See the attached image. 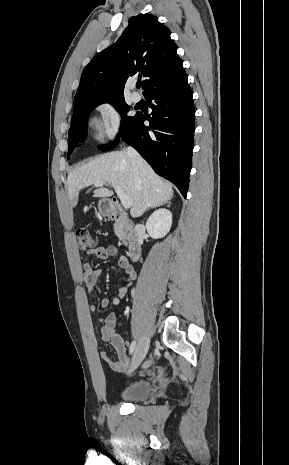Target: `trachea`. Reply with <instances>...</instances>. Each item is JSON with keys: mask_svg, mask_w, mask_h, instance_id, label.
Wrapping results in <instances>:
<instances>
[{"mask_svg": "<svg viewBox=\"0 0 289 465\" xmlns=\"http://www.w3.org/2000/svg\"><path fill=\"white\" fill-rule=\"evenodd\" d=\"M141 85H142V83H141V82H137V83H136V87H137V88H140V87H141Z\"/></svg>", "mask_w": 289, "mask_h": 465, "instance_id": "3493384b", "label": "trachea"}]
</instances>
